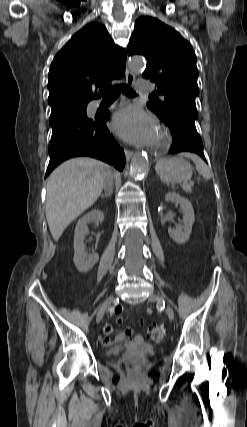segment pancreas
Listing matches in <instances>:
<instances>
[{
  "instance_id": "1",
  "label": "pancreas",
  "mask_w": 247,
  "mask_h": 427,
  "mask_svg": "<svg viewBox=\"0 0 247 427\" xmlns=\"http://www.w3.org/2000/svg\"><path fill=\"white\" fill-rule=\"evenodd\" d=\"M185 189L190 192V186L188 184H184Z\"/></svg>"
}]
</instances>
